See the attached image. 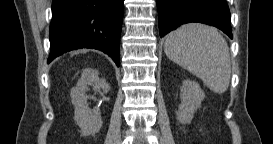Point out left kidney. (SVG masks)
<instances>
[{
    "mask_svg": "<svg viewBox=\"0 0 273 144\" xmlns=\"http://www.w3.org/2000/svg\"><path fill=\"white\" fill-rule=\"evenodd\" d=\"M180 89L181 104L176 116L180 123L187 124L191 122L195 111L200 108L205 94L198 83L190 80H184Z\"/></svg>",
    "mask_w": 273,
    "mask_h": 144,
    "instance_id": "5707ae66",
    "label": "left kidney"
}]
</instances>
